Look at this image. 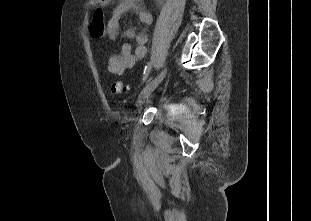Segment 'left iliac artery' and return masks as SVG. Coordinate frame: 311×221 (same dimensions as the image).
Listing matches in <instances>:
<instances>
[{"label":"left iliac artery","instance_id":"1","mask_svg":"<svg viewBox=\"0 0 311 221\" xmlns=\"http://www.w3.org/2000/svg\"><path fill=\"white\" fill-rule=\"evenodd\" d=\"M151 67H152V64L151 63H148V65L145 67L144 69V72H143V81H145L151 71Z\"/></svg>","mask_w":311,"mask_h":221}]
</instances>
